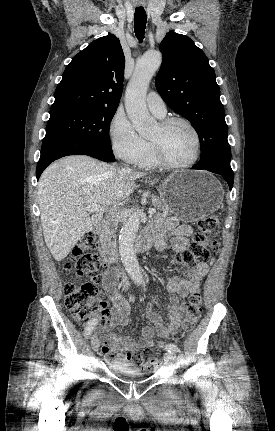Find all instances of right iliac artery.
Here are the masks:
<instances>
[{
	"mask_svg": "<svg viewBox=\"0 0 275 431\" xmlns=\"http://www.w3.org/2000/svg\"><path fill=\"white\" fill-rule=\"evenodd\" d=\"M96 324H97V319H92V320H90L87 324H86V326H85V331H84V334H85V336L86 337H89L90 335H91V333L93 332V330H94V328H95V326H96Z\"/></svg>",
	"mask_w": 275,
	"mask_h": 431,
	"instance_id": "82829eb1",
	"label": "right iliac artery"
}]
</instances>
